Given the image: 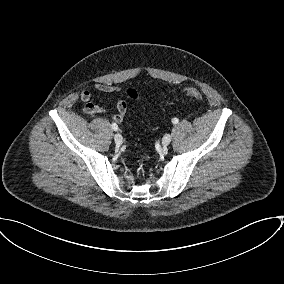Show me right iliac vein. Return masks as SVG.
<instances>
[{"label": "right iliac vein", "instance_id": "63e3f726", "mask_svg": "<svg viewBox=\"0 0 284 284\" xmlns=\"http://www.w3.org/2000/svg\"><path fill=\"white\" fill-rule=\"evenodd\" d=\"M114 140L116 144L121 145L123 142V137L119 133H116L114 135Z\"/></svg>", "mask_w": 284, "mask_h": 284}]
</instances>
